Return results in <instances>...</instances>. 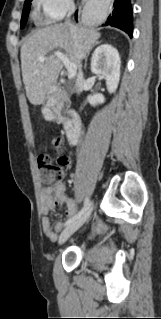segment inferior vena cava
<instances>
[{
	"instance_id": "1",
	"label": "inferior vena cava",
	"mask_w": 161,
	"mask_h": 319,
	"mask_svg": "<svg viewBox=\"0 0 161 319\" xmlns=\"http://www.w3.org/2000/svg\"><path fill=\"white\" fill-rule=\"evenodd\" d=\"M75 10V7L74 6H71L70 9H69V12H68V15H67V21H66V24L70 26L72 32H74V29L72 27V24L70 23V16L72 15V13L74 12ZM74 38H75V34H74ZM83 81H84V78H83V73L81 70H79V73H78V76H77V91L78 93L82 91L83 89Z\"/></svg>"
}]
</instances>
